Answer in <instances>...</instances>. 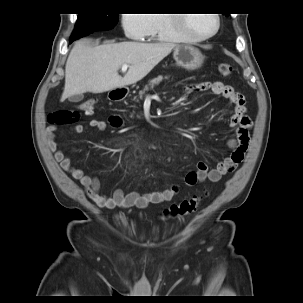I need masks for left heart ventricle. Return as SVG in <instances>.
<instances>
[{"label":"left heart ventricle","instance_id":"obj_1","mask_svg":"<svg viewBox=\"0 0 303 303\" xmlns=\"http://www.w3.org/2000/svg\"><path fill=\"white\" fill-rule=\"evenodd\" d=\"M187 26L193 34L203 35L214 29L215 19L211 14H189Z\"/></svg>","mask_w":303,"mask_h":303}]
</instances>
